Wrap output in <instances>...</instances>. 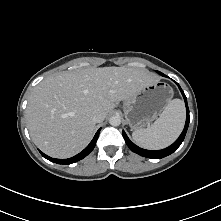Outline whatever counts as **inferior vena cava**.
I'll return each instance as SVG.
<instances>
[{
    "mask_svg": "<svg viewBox=\"0 0 221 221\" xmlns=\"http://www.w3.org/2000/svg\"><path fill=\"white\" fill-rule=\"evenodd\" d=\"M104 115L103 114H101V113H97V114H95L94 116H93V121L95 122V123H99V122H102L103 120H104Z\"/></svg>",
    "mask_w": 221,
    "mask_h": 221,
    "instance_id": "inferior-vena-cava-1",
    "label": "inferior vena cava"
}]
</instances>
